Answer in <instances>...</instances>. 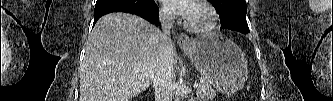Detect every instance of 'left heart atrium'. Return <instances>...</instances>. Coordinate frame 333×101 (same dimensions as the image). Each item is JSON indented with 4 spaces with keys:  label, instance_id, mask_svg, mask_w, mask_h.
Wrapping results in <instances>:
<instances>
[{
    "label": "left heart atrium",
    "instance_id": "left-heart-atrium-1",
    "mask_svg": "<svg viewBox=\"0 0 333 101\" xmlns=\"http://www.w3.org/2000/svg\"><path fill=\"white\" fill-rule=\"evenodd\" d=\"M163 4L169 12L184 17H187L193 8L191 0H164Z\"/></svg>",
    "mask_w": 333,
    "mask_h": 101
}]
</instances>
